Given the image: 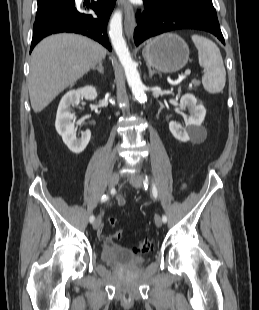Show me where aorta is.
I'll return each instance as SVG.
<instances>
[{
  "label": "aorta",
  "instance_id": "aorta-1",
  "mask_svg": "<svg viewBox=\"0 0 259 310\" xmlns=\"http://www.w3.org/2000/svg\"><path fill=\"white\" fill-rule=\"evenodd\" d=\"M109 36L113 48L124 68L127 82L132 89L133 95L139 102H145L147 100L145 86L140 79L136 64L132 60L123 38L121 11H116L110 20Z\"/></svg>",
  "mask_w": 259,
  "mask_h": 310
}]
</instances>
